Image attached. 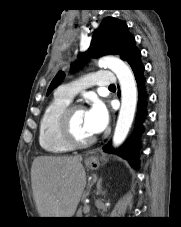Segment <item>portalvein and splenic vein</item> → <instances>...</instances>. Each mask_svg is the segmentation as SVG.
Returning a JSON list of instances; mask_svg holds the SVG:
<instances>
[{"label": "portal vein and splenic vein", "instance_id": "obj_1", "mask_svg": "<svg viewBox=\"0 0 181 227\" xmlns=\"http://www.w3.org/2000/svg\"><path fill=\"white\" fill-rule=\"evenodd\" d=\"M84 208L88 211V210H90V206L88 205V204H86L85 206H84Z\"/></svg>", "mask_w": 181, "mask_h": 227}]
</instances>
